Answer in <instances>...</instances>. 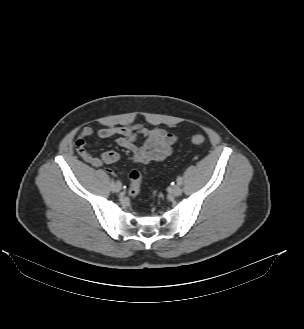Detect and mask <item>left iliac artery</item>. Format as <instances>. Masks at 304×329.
Listing matches in <instances>:
<instances>
[{"label":"left iliac artery","mask_w":304,"mask_h":329,"mask_svg":"<svg viewBox=\"0 0 304 329\" xmlns=\"http://www.w3.org/2000/svg\"><path fill=\"white\" fill-rule=\"evenodd\" d=\"M177 184H179V185L182 184V177L181 176L177 177Z\"/></svg>","instance_id":"obj_1"}]
</instances>
